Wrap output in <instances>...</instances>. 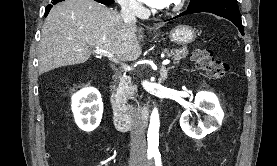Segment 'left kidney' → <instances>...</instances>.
Instances as JSON below:
<instances>
[{
	"label": "left kidney",
	"instance_id": "left-kidney-1",
	"mask_svg": "<svg viewBox=\"0 0 277 166\" xmlns=\"http://www.w3.org/2000/svg\"><path fill=\"white\" fill-rule=\"evenodd\" d=\"M194 108L206 113L203 121L197 127L190 125V111L183 112L180 118V126L184 133L192 138L201 139L207 134L214 132L222 123L224 112L218 98L212 92L200 91L195 96Z\"/></svg>",
	"mask_w": 277,
	"mask_h": 166
}]
</instances>
